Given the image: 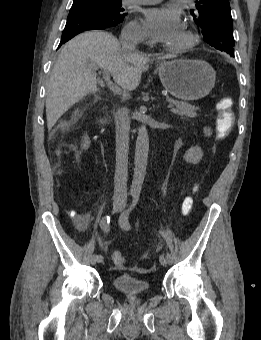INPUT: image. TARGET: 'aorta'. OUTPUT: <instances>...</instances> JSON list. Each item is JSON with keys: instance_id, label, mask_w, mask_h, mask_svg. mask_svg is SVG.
I'll use <instances>...</instances> for the list:
<instances>
[{"instance_id": "762f6f07", "label": "aorta", "mask_w": 261, "mask_h": 340, "mask_svg": "<svg viewBox=\"0 0 261 340\" xmlns=\"http://www.w3.org/2000/svg\"><path fill=\"white\" fill-rule=\"evenodd\" d=\"M149 152V136L145 125L138 129L135 148V168L130 187L132 195H139L144 182Z\"/></svg>"}]
</instances>
